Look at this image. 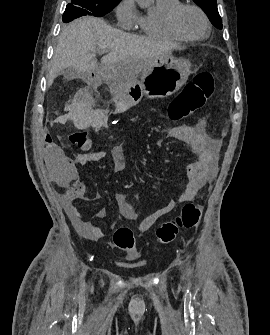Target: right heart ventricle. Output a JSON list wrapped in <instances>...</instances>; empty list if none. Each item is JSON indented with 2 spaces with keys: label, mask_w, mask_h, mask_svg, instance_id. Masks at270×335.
I'll list each match as a JSON object with an SVG mask.
<instances>
[{
  "label": "right heart ventricle",
  "mask_w": 270,
  "mask_h": 335,
  "mask_svg": "<svg viewBox=\"0 0 270 335\" xmlns=\"http://www.w3.org/2000/svg\"><path fill=\"white\" fill-rule=\"evenodd\" d=\"M180 4L181 0H156L157 13L139 14L135 26L151 38L167 41H182V38L169 30L166 23L168 12Z\"/></svg>",
  "instance_id": "obj_1"
}]
</instances>
